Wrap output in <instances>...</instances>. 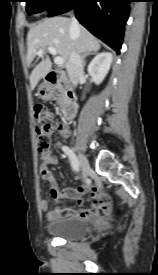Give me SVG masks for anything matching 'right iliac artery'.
<instances>
[{
    "mask_svg": "<svg viewBox=\"0 0 158 275\" xmlns=\"http://www.w3.org/2000/svg\"><path fill=\"white\" fill-rule=\"evenodd\" d=\"M62 150L68 156V158L71 162L72 169L78 173L80 171V165H79L78 159H77L76 155L74 154L73 150L70 149L68 146H62Z\"/></svg>",
    "mask_w": 158,
    "mask_h": 275,
    "instance_id": "1",
    "label": "right iliac artery"
}]
</instances>
